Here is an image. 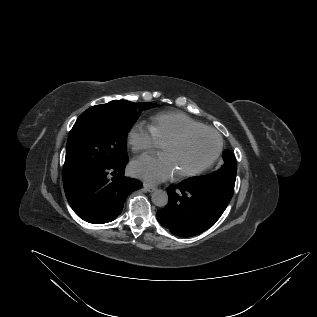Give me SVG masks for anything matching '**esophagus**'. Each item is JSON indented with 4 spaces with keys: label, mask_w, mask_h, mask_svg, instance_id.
Listing matches in <instances>:
<instances>
[{
    "label": "esophagus",
    "mask_w": 317,
    "mask_h": 317,
    "mask_svg": "<svg viewBox=\"0 0 317 317\" xmlns=\"http://www.w3.org/2000/svg\"><path fill=\"white\" fill-rule=\"evenodd\" d=\"M144 189L148 192H153L156 189V186L148 184V183H144Z\"/></svg>",
    "instance_id": "34e87169"
}]
</instances>
